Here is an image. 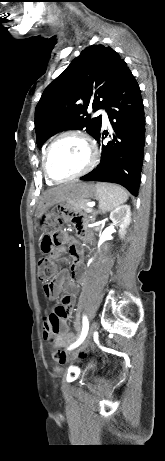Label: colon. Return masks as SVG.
Instances as JSON below:
<instances>
[{"label":"colon","instance_id":"1","mask_svg":"<svg viewBox=\"0 0 165 461\" xmlns=\"http://www.w3.org/2000/svg\"><path fill=\"white\" fill-rule=\"evenodd\" d=\"M40 223L44 228V233L41 237V250L44 253H50L55 248L62 245L66 240L64 234L58 230L60 217H53L51 213H49L41 218ZM38 268V276L42 281H47L55 276V265L47 258H41L39 260ZM72 344V340H56L54 346L58 348L59 354H64L66 348H71ZM87 353V349H80L78 357L80 359H86L88 357Z\"/></svg>","mask_w":165,"mask_h":461}]
</instances>
